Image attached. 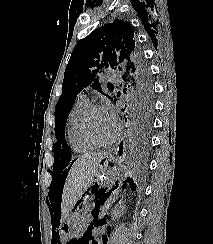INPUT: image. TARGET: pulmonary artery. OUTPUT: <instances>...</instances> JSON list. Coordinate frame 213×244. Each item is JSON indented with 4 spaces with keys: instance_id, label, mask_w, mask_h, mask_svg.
Returning <instances> with one entry per match:
<instances>
[{
    "instance_id": "pulmonary-artery-1",
    "label": "pulmonary artery",
    "mask_w": 213,
    "mask_h": 244,
    "mask_svg": "<svg viewBox=\"0 0 213 244\" xmlns=\"http://www.w3.org/2000/svg\"><path fill=\"white\" fill-rule=\"evenodd\" d=\"M113 80L115 81V78H114V77H113ZM82 97L87 98V97H86V96H84V95H83Z\"/></svg>"
}]
</instances>
